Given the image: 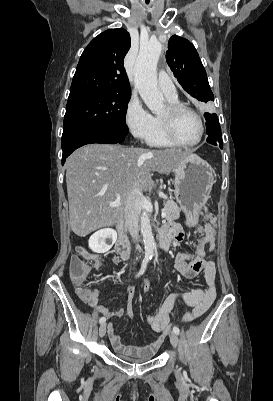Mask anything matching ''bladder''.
<instances>
[{"label": "bladder", "mask_w": 273, "mask_h": 401, "mask_svg": "<svg viewBox=\"0 0 273 401\" xmlns=\"http://www.w3.org/2000/svg\"><path fill=\"white\" fill-rule=\"evenodd\" d=\"M117 357L120 360L126 361V362H147V361L152 360L154 355H149V356L141 357V358H137V359H134V358H131V357H128V356H123L121 354H118Z\"/></svg>", "instance_id": "obj_1"}]
</instances>
